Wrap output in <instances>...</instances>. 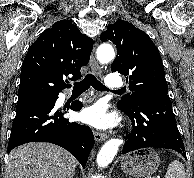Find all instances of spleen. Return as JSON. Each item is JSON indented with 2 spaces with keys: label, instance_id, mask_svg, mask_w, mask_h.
I'll return each instance as SVG.
<instances>
[{
  "label": "spleen",
  "instance_id": "spleen-1",
  "mask_svg": "<svg viewBox=\"0 0 194 178\" xmlns=\"http://www.w3.org/2000/svg\"><path fill=\"white\" fill-rule=\"evenodd\" d=\"M165 178H186L184 165L176 160L171 162L168 166Z\"/></svg>",
  "mask_w": 194,
  "mask_h": 178
}]
</instances>
